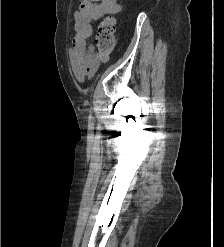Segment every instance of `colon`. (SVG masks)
<instances>
[{
    "label": "colon",
    "instance_id": "5ec220e1",
    "mask_svg": "<svg viewBox=\"0 0 224 247\" xmlns=\"http://www.w3.org/2000/svg\"><path fill=\"white\" fill-rule=\"evenodd\" d=\"M115 25L116 21L113 17H106L100 22L96 35V57L105 61L112 53L115 46Z\"/></svg>",
    "mask_w": 224,
    "mask_h": 247
}]
</instances>
